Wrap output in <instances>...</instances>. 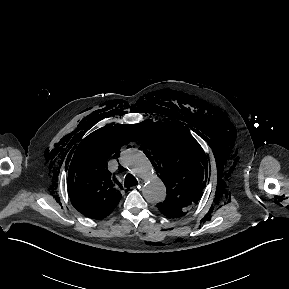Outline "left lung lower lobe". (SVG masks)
Returning a JSON list of instances; mask_svg holds the SVG:
<instances>
[{
	"mask_svg": "<svg viewBox=\"0 0 289 289\" xmlns=\"http://www.w3.org/2000/svg\"><path fill=\"white\" fill-rule=\"evenodd\" d=\"M159 210L163 215H165L167 217L177 218V217L183 216L182 213H176V212H172V211L160 209V208H159Z\"/></svg>",
	"mask_w": 289,
	"mask_h": 289,
	"instance_id": "0a47b994",
	"label": "left lung lower lobe"
}]
</instances>
